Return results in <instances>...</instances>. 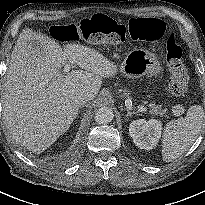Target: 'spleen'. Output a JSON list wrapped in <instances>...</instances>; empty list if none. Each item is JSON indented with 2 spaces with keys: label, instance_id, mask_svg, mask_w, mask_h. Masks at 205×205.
Here are the masks:
<instances>
[{
  "label": "spleen",
  "instance_id": "1",
  "mask_svg": "<svg viewBox=\"0 0 205 205\" xmlns=\"http://www.w3.org/2000/svg\"><path fill=\"white\" fill-rule=\"evenodd\" d=\"M204 113L203 107L194 105L184 119L166 124L162 138L163 161L171 162L190 148L200 133Z\"/></svg>",
  "mask_w": 205,
  "mask_h": 205
}]
</instances>
